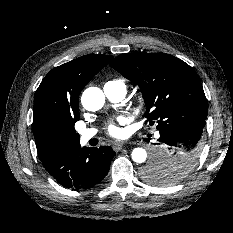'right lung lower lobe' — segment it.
<instances>
[{
	"label": "right lung lower lobe",
	"instance_id": "right-lung-lower-lobe-1",
	"mask_svg": "<svg viewBox=\"0 0 233 233\" xmlns=\"http://www.w3.org/2000/svg\"><path fill=\"white\" fill-rule=\"evenodd\" d=\"M114 156L110 146L81 148L77 144L40 157L45 169L59 184L76 191L91 188L103 180Z\"/></svg>",
	"mask_w": 233,
	"mask_h": 233
}]
</instances>
